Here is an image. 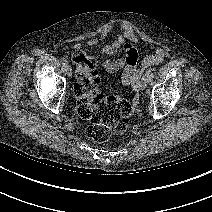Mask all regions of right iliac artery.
<instances>
[{"mask_svg":"<svg viewBox=\"0 0 212 212\" xmlns=\"http://www.w3.org/2000/svg\"><path fill=\"white\" fill-rule=\"evenodd\" d=\"M61 63H62L63 65H67L68 62H67V60H66L65 58H62V59H61Z\"/></svg>","mask_w":212,"mask_h":212,"instance_id":"1","label":"right iliac artery"}]
</instances>
